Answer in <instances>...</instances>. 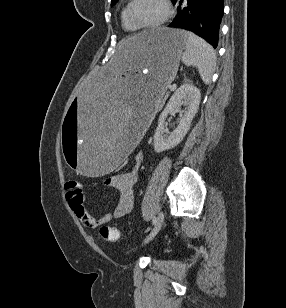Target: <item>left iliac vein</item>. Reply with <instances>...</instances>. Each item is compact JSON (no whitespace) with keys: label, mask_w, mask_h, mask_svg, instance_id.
<instances>
[{"label":"left iliac vein","mask_w":286,"mask_h":308,"mask_svg":"<svg viewBox=\"0 0 286 308\" xmlns=\"http://www.w3.org/2000/svg\"><path fill=\"white\" fill-rule=\"evenodd\" d=\"M163 221H164V213L160 211L156 218V222L154 224L152 231L144 240V244L148 243L150 240H152L157 235V233L160 231L162 227Z\"/></svg>","instance_id":"4c4485c4"}]
</instances>
